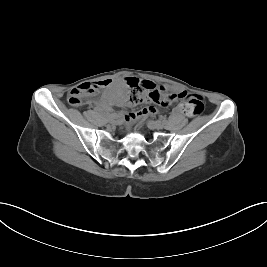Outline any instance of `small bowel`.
Segmentation results:
<instances>
[{
	"label": "small bowel",
	"mask_w": 267,
	"mask_h": 267,
	"mask_svg": "<svg viewBox=\"0 0 267 267\" xmlns=\"http://www.w3.org/2000/svg\"><path fill=\"white\" fill-rule=\"evenodd\" d=\"M90 89H100L102 85H108V81H99L88 83ZM83 85V84H82ZM184 91L178 90L175 94V99L173 102L177 101V99L181 98ZM111 104H116L118 106H124L125 103V92L123 90H117L113 92L108 98L103 99L100 103H95V108L103 111H109ZM175 112H183V104H178V106L174 109ZM156 112V109L152 106L141 109L138 112L126 113L123 115V119L126 122H133L137 118L147 117Z\"/></svg>",
	"instance_id": "obj_1"
}]
</instances>
